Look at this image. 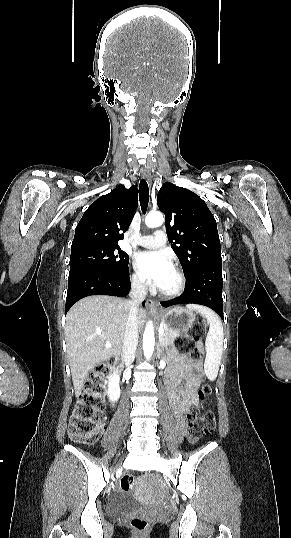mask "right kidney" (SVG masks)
Masks as SVG:
<instances>
[{
	"label": "right kidney",
	"mask_w": 291,
	"mask_h": 538,
	"mask_svg": "<svg viewBox=\"0 0 291 538\" xmlns=\"http://www.w3.org/2000/svg\"><path fill=\"white\" fill-rule=\"evenodd\" d=\"M120 377L118 373H114L108 377V390L106 391L109 400L115 402L119 399L121 390H120Z\"/></svg>",
	"instance_id": "ca27d5eb"
}]
</instances>
